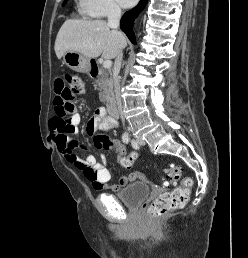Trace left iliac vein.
I'll use <instances>...</instances> for the list:
<instances>
[{
  "label": "left iliac vein",
  "instance_id": "obj_1",
  "mask_svg": "<svg viewBox=\"0 0 248 258\" xmlns=\"http://www.w3.org/2000/svg\"><path fill=\"white\" fill-rule=\"evenodd\" d=\"M136 142L139 146L145 145V141L141 137H137Z\"/></svg>",
  "mask_w": 248,
  "mask_h": 258
}]
</instances>
